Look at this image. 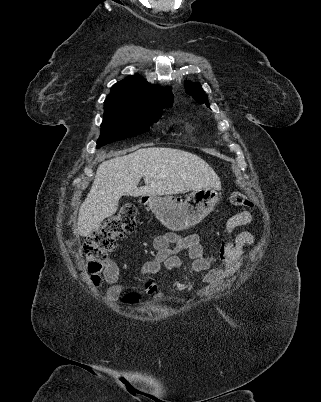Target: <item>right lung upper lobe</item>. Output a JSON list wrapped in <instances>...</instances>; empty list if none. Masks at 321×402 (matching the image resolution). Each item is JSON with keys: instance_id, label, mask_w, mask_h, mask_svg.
<instances>
[{"instance_id": "cb5924a9", "label": "right lung upper lobe", "mask_w": 321, "mask_h": 402, "mask_svg": "<svg viewBox=\"0 0 321 402\" xmlns=\"http://www.w3.org/2000/svg\"><path fill=\"white\" fill-rule=\"evenodd\" d=\"M107 102H121L144 107H166L172 105L170 88L152 86L138 76L117 82L107 96Z\"/></svg>"}]
</instances>
